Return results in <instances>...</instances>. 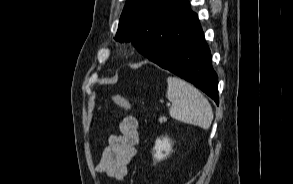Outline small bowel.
I'll return each instance as SVG.
<instances>
[{
    "label": "small bowel",
    "mask_w": 293,
    "mask_h": 184,
    "mask_svg": "<svg viewBox=\"0 0 293 184\" xmlns=\"http://www.w3.org/2000/svg\"><path fill=\"white\" fill-rule=\"evenodd\" d=\"M139 123L136 117L128 115L118 122V134L107 139L101 158L96 166L98 173L121 182L128 174V165L136 153L139 142Z\"/></svg>",
    "instance_id": "1"
}]
</instances>
